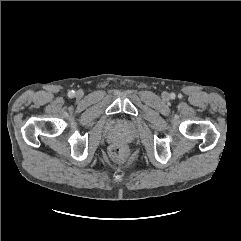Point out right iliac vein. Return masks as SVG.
Returning <instances> with one entry per match:
<instances>
[{
	"label": "right iliac vein",
	"instance_id": "1",
	"mask_svg": "<svg viewBox=\"0 0 241 241\" xmlns=\"http://www.w3.org/2000/svg\"><path fill=\"white\" fill-rule=\"evenodd\" d=\"M81 95H82V93H78V94H77V96H81Z\"/></svg>",
	"mask_w": 241,
	"mask_h": 241
}]
</instances>
